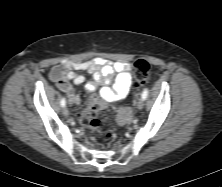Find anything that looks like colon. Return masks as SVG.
<instances>
[{"label": "colon", "instance_id": "1", "mask_svg": "<svg viewBox=\"0 0 222 187\" xmlns=\"http://www.w3.org/2000/svg\"><path fill=\"white\" fill-rule=\"evenodd\" d=\"M151 65L146 59H138L133 64V74L137 84L144 85L149 80ZM105 100L94 96L79 117V123L91 130H98L106 119ZM112 132H106V139H113Z\"/></svg>", "mask_w": 222, "mask_h": 187}]
</instances>
